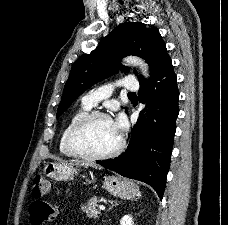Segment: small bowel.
Returning a JSON list of instances; mask_svg holds the SVG:
<instances>
[{
	"label": "small bowel",
	"mask_w": 228,
	"mask_h": 225,
	"mask_svg": "<svg viewBox=\"0 0 228 225\" xmlns=\"http://www.w3.org/2000/svg\"><path fill=\"white\" fill-rule=\"evenodd\" d=\"M45 203V199H36V204H30V218H35L33 225H46V223H50V218H55L59 215L60 211L58 209L54 210L52 204ZM53 211L54 213L52 215Z\"/></svg>",
	"instance_id": "c3829d8e"
}]
</instances>
